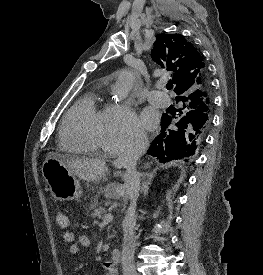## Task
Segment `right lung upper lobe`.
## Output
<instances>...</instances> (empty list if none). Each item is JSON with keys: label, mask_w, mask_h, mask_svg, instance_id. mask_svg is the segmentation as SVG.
<instances>
[{"label": "right lung upper lobe", "mask_w": 263, "mask_h": 275, "mask_svg": "<svg viewBox=\"0 0 263 275\" xmlns=\"http://www.w3.org/2000/svg\"><path fill=\"white\" fill-rule=\"evenodd\" d=\"M151 57L158 65L172 72L171 80L177 97L199 89L206 90L203 112L210 121L213 106L211 85L204 76L205 64L197 49L181 34H158Z\"/></svg>", "instance_id": "obj_1"}]
</instances>
